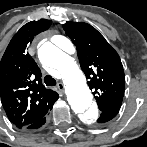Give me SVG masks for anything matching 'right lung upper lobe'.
I'll use <instances>...</instances> for the list:
<instances>
[{
    "label": "right lung upper lobe",
    "mask_w": 147,
    "mask_h": 147,
    "mask_svg": "<svg viewBox=\"0 0 147 147\" xmlns=\"http://www.w3.org/2000/svg\"><path fill=\"white\" fill-rule=\"evenodd\" d=\"M51 20L25 24L10 41L0 62V96L9 120L24 128L45 117L59 98L41 83V72L27 52L33 38L47 30Z\"/></svg>",
    "instance_id": "1"
}]
</instances>
